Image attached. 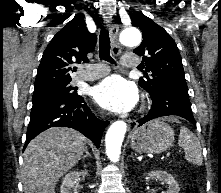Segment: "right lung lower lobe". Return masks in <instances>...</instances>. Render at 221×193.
<instances>
[{
  "mask_svg": "<svg viewBox=\"0 0 221 193\" xmlns=\"http://www.w3.org/2000/svg\"><path fill=\"white\" fill-rule=\"evenodd\" d=\"M107 121H101L91 112L84 99L50 98L33 102L24 148L39 133L51 127H70L80 131L97 147Z\"/></svg>",
  "mask_w": 221,
  "mask_h": 193,
  "instance_id": "98d812e1",
  "label": "right lung lower lobe"
}]
</instances>
